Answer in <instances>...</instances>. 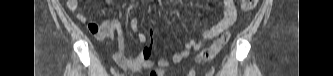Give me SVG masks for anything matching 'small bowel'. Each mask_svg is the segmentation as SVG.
<instances>
[{
    "label": "small bowel",
    "mask_w": 333,
    "mask_h": 76,
    "mask_svg": "<svg viewBox=\"0 0 333 76\" xmlns=\"http://www.w3.org/2000/svg\"><path fill=\"white\" fill-rule=\"evenodd\" d=\"M67 7L70 11H77L79 1L67 0ZM236 7L233 0H224L222 15L219 21L210 28L202 29L201 39H189L185 42L184 47L177 51L170 59H160L157 62L151 60L152 44L148 43L145 34L138 32V20L133 18L130 21V27L134 32H138V41L144 44L137 56L129 58L125 53V45L122 38L121 25L117 20H104L102 22L89 21L87 16L82 12H77L76 18L81 23H88L89 31L97 39H105L117 36L119 39L120 50L114 54V61L122 69L137 71L140 69H151L148 76H162L164 69L169 68L173 64H177L184 60L191 51L202 50L208 41L216 38L222 32L227 30L236 20ZM194 75L193 72L189 73Z\"/></svg>",
    "instance_id": "1"
}]
</instances>
